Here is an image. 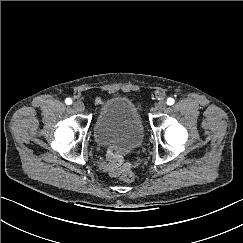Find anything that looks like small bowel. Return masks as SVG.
<instances>
[{"label": "small bowel", "mask_w": 243, "mask_h": 243, "mask_svg": "<svg viewBox=\"0 0 243 243\" xmlns=\"http://www.w3.org/2000/svg\"><path fill=\"white\" fill-rule=\"evenodd\" d=\"M95 103L101 105L102 101L96 99ZM129 166V164L123 162V156L113 150L107 152L106 159L101 164L102 170L108 173L111 177L119 176L124 170L128 169Z\"/></svg>", "instance_id": "1"}]
</instances>
